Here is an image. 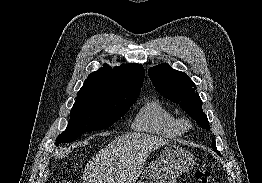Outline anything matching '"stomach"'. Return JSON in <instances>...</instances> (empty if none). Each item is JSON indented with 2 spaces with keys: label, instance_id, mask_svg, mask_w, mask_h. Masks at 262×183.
<instances>
[{
  "label": "stomach",
  "instance_id": "stomach-1",
  "mask_svg": "<svg viewBox=\"0 0 262 183\" xmlns=\"http://www.w3.org/2000/svg\"><path fill=\"white\" fill-rule=\"evenodd\" d=\"M194 164L193 154L179 146H167L160 157L144 170L139 183H176L177 178Z\"/></svg>",
  "mask_w": 262,
  "mask_h": 183
}]
</instances>
